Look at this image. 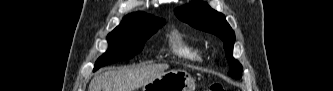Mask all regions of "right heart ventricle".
<instances>
[{"label": "right heart ventricle", "mask_w": 333, "mask_h": 91, "mask_svg": "<svg viewBox=\"0 0 333 91\" xmlns=\"http://www.w3.org/2000/svg\"><path fill=\"white\" fill-rule=\"evenodd\" d=\"M170 46L174 54L185 60L201 62L203 60L202 48L187 40L179 31L173 30L170 35Z\"/></svg>", "instance_id": "obj_1"}]
</instances>
